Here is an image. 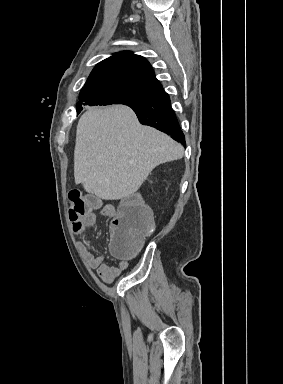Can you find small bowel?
Returning <instances> with one entry per match:
<instances>
[{
  "mask_svg": "<svg viewBox=\"0 0 283 384\" xmlns=\"http://www.w3.org/2000/svg\"><path fill=\"white\" fill-rule=\"evenodd\" d=\"M104 216L109 218H114L116 215V210L111 205H106L102 207L101 210ZM97 217L96 214L91 210L89 211L84 218L82 219L81 225H73V230L76 233L85 231L86 229L93 227L96 223ZM79 250L84 258V260L89 264L90 267L96 269L99 277L105 283L113 282L117 277L121 275L123 271L128 268L127 260H120L117 265H109L105 263L104 256L101 253L93 254L84 244L79 243Z\"/></svg>",
  "mask_w": 283,
  "mask_h": 384,
  "instance_id": "obj_1",
  "label": "small bowel"
}]
</instances>
